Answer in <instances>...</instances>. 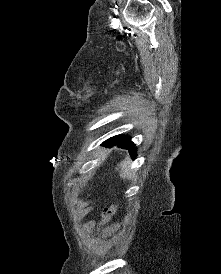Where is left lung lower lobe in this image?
<instances>
[{"label": "left lung lower lobe", "mask_w": 221, "mask_h": 274, "mask_svg": "<svg viewBox=\"0 0 221 274\" xmlns=\"http://www.w3.org/2000/svg\"><path fill=\"white\" fill-rule=\"evenodd\" d=\"M103 144L106 147L118 146V147L127 149L133 159L136 158L137 156V153H136L137 149L135 148V144L131 142V139L129 137H126V136L123 137L121 135L114 136L106 140Z\"/></svg>", "instance_id": "left-lung-lower-lobe-1"}]
</instances>
